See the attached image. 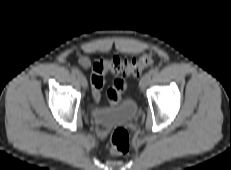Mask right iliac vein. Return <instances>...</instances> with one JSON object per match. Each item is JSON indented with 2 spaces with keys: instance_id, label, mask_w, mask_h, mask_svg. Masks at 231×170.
Masks as SVG:
<instances>
[{
  "instance_id": "1",
  "label": "right iliac vein",
  "mask_w": 231,
  "mask_h": 170,
  "mask_svg": "<svg viewBox=\"0 0 231 170\" xmlns=\"http://www.w3.org/2000/svg\"><path fill=\"white\" fill-rule=\"evenodd\" d=\"M77 80H78V82L80 83V85H81L84 89L87 88L88 83H87V80H86V78H85L84 75L78 74Z\"/></svg>"
}]
</instances>
